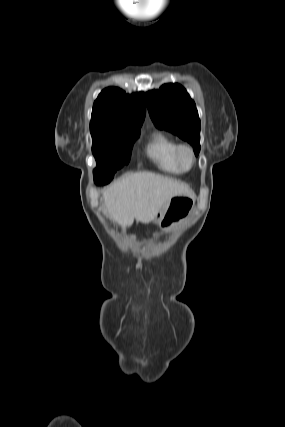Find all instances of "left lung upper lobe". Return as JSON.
<instances>
[{
    "mask_svg": "<svg viewBox=\"0 0 285 427\" xmlns=\"http://www.w3.org/2000/svg\"><path fill=\"white\" fill-rule=\"evenodd\" d=\"M150 116L165 129L189 142L197 155L200 150V119L194 101L179 84H165L146 93Z\"/></svg>",
    "mask_w": 285,
    "mask_h": 427,
    "instance_id": "obj_1",
    "label": "left lung upper lobe"
}]
</instances>
